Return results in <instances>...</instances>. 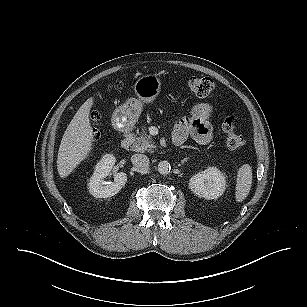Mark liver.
<instances>
[{"mask_svg":"<svg viewBox=\"0 0 307 307\" xmlns=\"http://www.w3.org/2000/svg\"><path fill=\"white\" fill-rule=\"evenodd\" d=\"M93 103V97L87 99L64 132L57 157V170L61 178L71 174L92 149L94 135L89 114Z\"/></svg>","mask_w":307,"mask_h":307,"instance_id":"6515ba94","label":"liver"}]
</instances>
